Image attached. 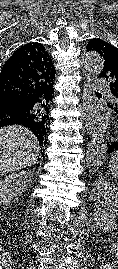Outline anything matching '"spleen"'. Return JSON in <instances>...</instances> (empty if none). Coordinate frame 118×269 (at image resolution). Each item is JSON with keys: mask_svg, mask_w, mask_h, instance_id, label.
Returning a JSON list of instances; mask_svg holds the SVG:
<instances>
[{"mask_svg": "<svg viewBox=\"0 0 118 269\" xmlns=\"http://www.w3.org/2000/svg\"><path fill=\"white\" fill-rule=\"evenodd\" d=\"M109 167L112 176L118 179V151L112 154Z\"/></svg>", "mask_w": 118, "mask_h": 269, "instance_id": "obj_1", "label": "spleen"}]
</instances>
